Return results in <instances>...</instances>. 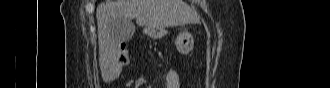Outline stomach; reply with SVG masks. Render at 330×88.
Segmentation results:
<instances>
[{
    "label": "stomach",
    "mask_w": 330,
    "mask_h": 88,
    "mask_svg": "<svg viewBox=\"0 0 330 88\" xmlns=\"http://www.w3.org/2000/svg\"><path fill=\"white\" fill-rule=\"evenodd\" d=\"M151 36H156L157 32L153 30L150 33ZM178 51L181 54H188L194 47V40L191 33H189L186 29H183L177 35L175 40Z\"/></svg>",
    "instance_id": "stomach-1"
}]
</instances>
